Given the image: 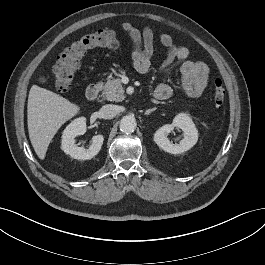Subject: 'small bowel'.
Returning a JSON list of instances; mask_svg holds the SVG:
<instances>
[{
	"instance_id": "obj_1",
	"label": "small bowel",
	"mask_w": 265,
	"mask_h": 265,
	"mask_svg": "<svg viewBox=\"0 0 265 265\" xmlns=\"http://www.w3.org/2000/svg\"><path fill=\"white\" fill-rule=\"evenodd\" d=\"M122 29L128 34L132 44V60L135 69L139 73H147L151 67L154 51V33L150 27L137 28L131 22H124ZM161 45L166 49L165 59L162 66L167 67L174 62H180L182 89L188 98H198L203 93L208 76L209 68L201 61L189 60V51L184 46H177L173 43L171 36L162 33L159 36ZM172 93L167 83H160L154 96L159 100H165Z\"/></svg>"
}]
</instances>
